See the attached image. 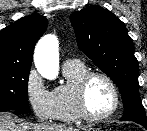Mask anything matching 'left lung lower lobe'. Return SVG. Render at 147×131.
Masks as SVG:
<instances>
[{
    "instance_id": "left-lung-lower-lobe-1",
    "label": "left lung lower lobe",
    "mask_w": 147,
    "mask_h": 131,
    "mask_svg": "<svg viewBox=\"0 0 147 131\" xmlns=\"http://www.w3.org/2000/svg\"><path fill=\"white\" fill-rule=\"evenodd\" d=\"M138 124L144 126L147 129V124H144V123H138Z\"/></svg>"
}]
</instances>
